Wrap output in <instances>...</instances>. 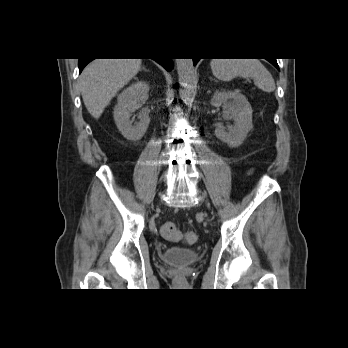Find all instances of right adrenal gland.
Listing matches in <instances>:
<instances>
[{"label": "right adrenal gland", "mask_w": 348, "mask_h": 348, "mask_svg": "<svg viewBox=\"0 0 348 348\" xmlns=\"http://www.w3.org/2000/svg\"><path fill=\"white\" fill-rule=\"evenodd\" d=\"M143 70H144V71H148L145 67H143Z\"/></svg>", "instance_id": "1"}]
</instances>
